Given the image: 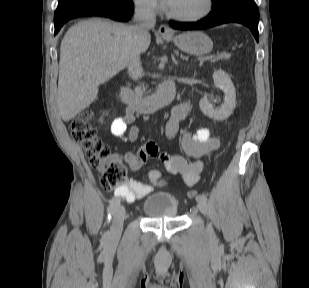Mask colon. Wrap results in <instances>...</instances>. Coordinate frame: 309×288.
Returning a JSON list of instances; mask_svg holds the SVG:
<instances>
[{
    "label": "colon",
    "instance_id": "5ec220e1",
    "mask_svg": "<svg viewBox=\"0 0 309 288\" xmlns=\"http://www.w3.org/2000/svg\"><path fill=\"white\" fill-rule=\"evenodd\" d=\"M94 113L85 110L71 122V136L78 143L88 157L89 165L100 172V184L107 190H117L125 185L126 168L117 159L111 156L110 148L98 137L91 121ZM159 185H165L162 179L157 180ZM187 196L196 199L198 192L189 190Z\"/></svg>",
    "mask_w": 309,
    "mask_h": 288
}]
</instances>
